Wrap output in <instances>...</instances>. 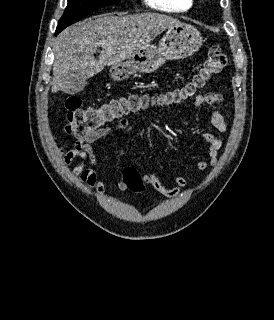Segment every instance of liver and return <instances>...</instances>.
<instances>
[{
  "instance_id": "6515ba94",
  "label": "liver",
  "mask_w": 274,
  "mask_h": 320,
  "mask_svg": "<svg viewBox=\"0 0 274 320\" xmlns=\"http://www.w3.org/2000/svg\"><path fill=\"white\" fill-rule=\"evenodd\" d=\"M181 24L164 14H101L69 26L57 36L53 48L52 92L77 94L79 80H88L104 66L120 64L150 46L164 30ZM101 48L99 60L94 54Z\"/></svg>"
}]
</instances>
